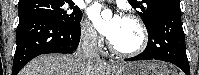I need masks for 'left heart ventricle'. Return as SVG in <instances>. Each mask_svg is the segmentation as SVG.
Returning <instances> with one entry per match:
<instances>
[{
	"label": "left heart ventricle",
	"instance_id": "b2bd125f",
	"mask_svg": "<svg viewBox=\"0 0 199 75\" xmlns=\"http://www.w3.org/2000/svg\"><path fill=\"white\" fill-rule=\"evenodd\" d=\"M140 40V30L137 25L124 18L119 31L111 42L122 49H134L138 47Z\"/></svg>",
	"mask_w": 199,
	"mask_h": 75
}]
</instances>
